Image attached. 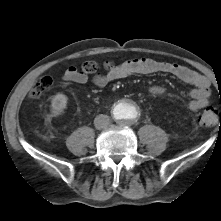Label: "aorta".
<instances>
[{"label":"aorta","mask_w":221,"mask_h":221,"mask_svg":"<svg viewBox=\"0 0 221 221\" xmlns=\"http://www.w3.org/2000/svg\"><path fill=\"white\" fill-rule=\"evenodd\" d=\"M140 110L137 104L131 100L118 101L113 109V118L121 124H128L135 121L139 116Z\"/></svg>","instance_id":"obj_1"}]
</instances>
